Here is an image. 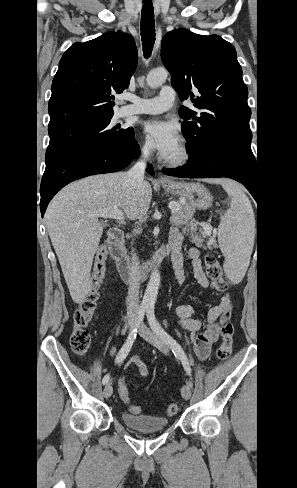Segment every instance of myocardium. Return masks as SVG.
Segmentation results:
<instances>
[{"instance_id": "f54148a6", "label": "myocardium", "mask_w": 297, "mask_h": 488, "mask_svg": "<svg viewBox=\"0 0 297 488\" xmlns=\"http://www.w3.org/2000/svg\"><path fill=\"white\" fill-rule=\"evenodd\" d=\"M192 156L190 143L185 139H180V153L175 158H165L164 163L168 167L177 168L186 165Z\"/></svg>"}]
</instances>
